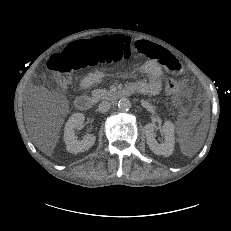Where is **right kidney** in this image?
Segmentation results:
<instances>
[{
    "label": "right kidney",
    "instance_id": "ca27d5eb",
    "mask_svg": "<svg viewBox=\"0 0 231 231\" xmlns=\"http://www.w3.org/2000/svg\"><path fill=\"white\" fill-rule=\"evenodd\" d=\"M84 114L74 113L66 122L64 129V141L68 152L77 154L89 150L95 143L96 137L93 134L85 136L78 140L75 135V129L84 122Z\"/></svg>",
    "mask_w": 231,
    "mask_h": 231
}]
</instances>
